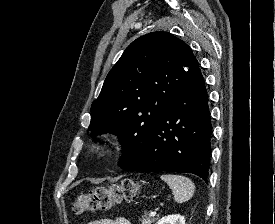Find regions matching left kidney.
I'll return each instance as SVG.
<instances>
[{"mask_svg":"<svg viewBox=\"0 0 275 224\" xmlns=\"http://www.w3.org/2000/svg\"><path fill=\"white\" fill-rule=\"evenodd\" d=\"M156 224H185V218L181 215H168L162 217Z\"/></svg>","mask_w":275,"mask_h":224,"instance_id":"5707ae66","label":"left kidney"}]
</instances>
